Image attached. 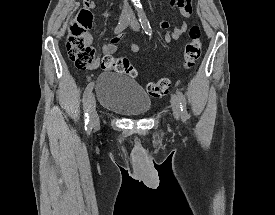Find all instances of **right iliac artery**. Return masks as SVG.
I'll use <instances>...</instances> for the list:
<instances>
[{
	"instance_id": "1",
	"label": "right iliac artery",
	"mask_w": 275,
	"mask_h": 215,
	"mask_svg": "<svg viewBox=\"0 0 275 215\" xmlns=\"http://www.w3.org/2000/svg\"><path fill=\"white\" fill-rule=\"evenodd\" d=\"M129 22V17H124L116 26L114 33L118 34L121 31H123ZM93 86L94 83L91 82L87 85L85 91H84V95H83V107H84V119H85V129L88 130L91 128V124H90V120H89V114H88V100L92 94V90H93Z\"/></svg>"
}]
</instances>
